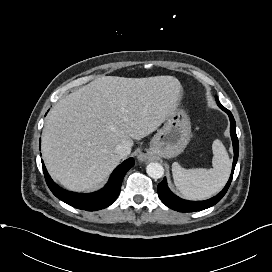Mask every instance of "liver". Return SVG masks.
<instances>
[{"mask_svg": "<svg viewBox=\"0 0 272 272\" xmlns=\"http://www.w3.org/2000/svg\"><path fill=\"white\" fill-rule=\"evenodd\" d=\"M173 76L98 77L50 111L42 154L51 177L73 191L98 187L122 159L116 146L154 132L179 105Z\"/></svg>", "mask_w": 272, "mask_h": 272, "instance_id": "1", "label": "liver"}]
</instances>
